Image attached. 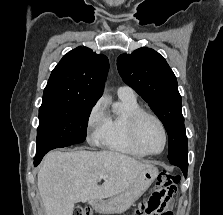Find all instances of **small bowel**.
Returning <instances> with one entry per match:
<instances>
[{
    "label": "small bowel",
    "mask_w": 223,
    "mask_h": 215,
    "mask_svg": "<svg viewBox=\"0 0 223 215\" xmlns=\"http://www.w3.org/2000/svg\"><path fill=\"white\" fill-rule=\"evenodd\" d=\"M172 194L173 192H168L165 188H159L155 190L149 198V202L152 204H163L166 208L165 215H173L172 207ZM144 215H154L151 212H146Z\"/></svg>",
    "instance_id": "small-bowel-1"
}]
</instances>
